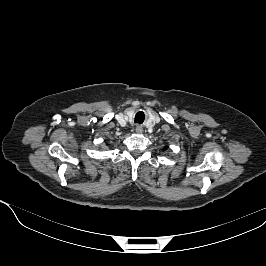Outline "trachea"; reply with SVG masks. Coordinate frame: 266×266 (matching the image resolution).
Listing matches in <instances>:
<instances>
[{
	"mask_svg": "<svg viewBox=\"0 0 266 266\" xmlns=\"http://www.w3.org/2000/svg\"><path fill=\"white\" fill-rule=\"evenodd\" d=\"M144 121V113L138 112L135 116V123L142 124Z\"/></svg>",
	"mask_w": 266,
	"mask_h": 266,
	"instance_id": "1",
	"label": "trachea"
}]
</instances>
